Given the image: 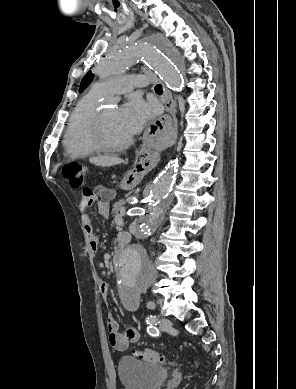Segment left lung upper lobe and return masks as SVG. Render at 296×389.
Listing matches in <instances>:
<instances>
[{"label":"left lung upper lobe","instance_id":"1","mask_svg":"<svg viewBox=\"0 0 296 389\" xmlns=\"http://www.w3.org/2000/svg\"><path fill=\"white\" fill-rule=\"evenodd\" d=\"M93 77H94V75L91 71H89L84 76V78L82 79L81 84H80L79 92H82L88 86V84L92 81Z\"/></svg>","mask_w":296,"mask_h":389}]
</instances>
